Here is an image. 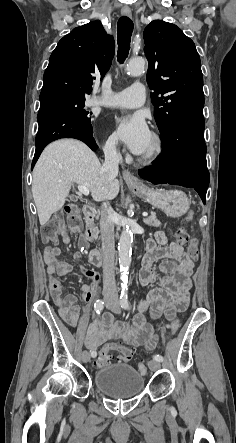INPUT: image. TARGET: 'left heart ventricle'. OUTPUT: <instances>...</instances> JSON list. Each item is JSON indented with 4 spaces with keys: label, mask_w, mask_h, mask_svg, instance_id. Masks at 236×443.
<instances>
[{
    "label": "left heart ventricle",
    "mask_w": 236,
    "mask_h": 443,
    "mask_svg": "<svg viewBox=\"0 0 236 443\" xmlns=\"http://www.w3.org/2000/svg\"><path fill=\"white\" fill-rule=\"evenodd\" d=\"M151 147H152V138L150 137L149 141H148V143H147V145H146V147H145V149H144V151L142 153H145V152L149 151L151 149Z\"/></svg>",
    "instance_id": "left-heart-ventricle-1"
}]
</instances>
